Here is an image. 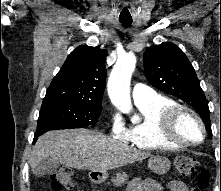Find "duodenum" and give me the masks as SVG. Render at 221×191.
<instances>
[{"instance_id":"410a0bca","label":"duodenum","mask_w":221,"mask_h":191,"mask_svg":"<svg viewBox=\"0 0 221 191\" xmlns=\"http://www.w3.org/2000/svg\"><path fill=\"white\" fill-rule=\"evenodd\" d=\"M91 179L94 180V177L92 176Z\"/></svg>"}]
</instances>
